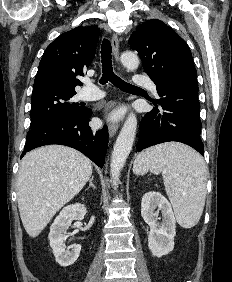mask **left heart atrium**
Masks as SVG:
<instances>
[{"label": "left heart atrium", "mask_w": 232, "mask_h": 282, "mask_svg": "<svg viewBox=\"0 0 232 282\" xmlns=\"http://www.w3.org/2000/svg\"><path fill=\"white\" fill-rule=\"evenodd\" d=\"M117 115H118V113H114V114L112 115V118H116Z\"/></svg>", "instance_id": "39dd6f15"}]
</instances>
